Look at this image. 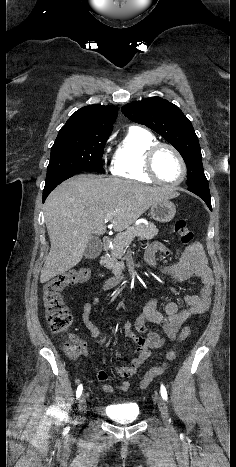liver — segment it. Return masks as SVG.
I'll return each instance as SVG.
<instances>
[{"label": "liver", "mask_w": 236, "mask_h": 467, "mask_svg": "<svg viewBox=\"0 0 236 467\" xmlns=\"http://www.w3.org/2000/svg\"><path fill=\"white\" fill-rule=\"evenodd\" d=\"M171 187H150L119 178L75 176L58 186L44 205L51 248L41 270L46 283L76 266L93 234L106 231L111 218L117 232L130 227L153 204L177 197Z\"/></svg>", "instance_id": "6515ba94"}]
</instances>
